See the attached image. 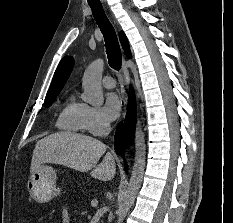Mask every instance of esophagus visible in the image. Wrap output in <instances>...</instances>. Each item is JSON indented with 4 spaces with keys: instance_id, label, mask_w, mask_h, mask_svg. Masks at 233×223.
<instances>
[{
    "instance_id": "34e87169",
    "label": "esophagus",
    "mask_w": 233,
    "mask_h": 223,
    "mask_svg": "<svg viewBox=\"0 0 233 223\" xmlns=\"http://www.w3.org/2000/svg\"><path fill=\"white\" fill-rule=\"evenodd\" d=\"M122 77H123L125 84L129 85L130 77H129V71H128V68L125 64V61H124L123 67H122ZM126 104H127V98L124 100V105H126Z\"/></svg>"
}]
</instances>
